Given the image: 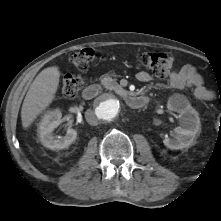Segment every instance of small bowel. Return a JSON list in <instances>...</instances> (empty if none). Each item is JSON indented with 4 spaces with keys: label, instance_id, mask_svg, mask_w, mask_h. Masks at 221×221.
Masks as SVG:
<instances>
[{
    "label": "small bowel",
    "instance_id": "small-bowel-1",
    "mask_svg": "<svg viewBox=\"0 0 221 221\" xmlns=\"http://www.w3.org/2000/svg\"><path fill=\"white\" fill-rule=\"evenodd\" d=\"M136 78L140 82L151 80V76L145 71L138 72ZM169 86L173 89L192 88L194 96L203 101H211L215 96L211 89L204 86L202 77L195 67L189 64L182 66L170 75Z\"/></svg>",
    "mask_w": 221,
    "mask_h": 221
}]
</instances>
